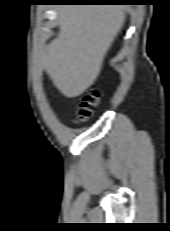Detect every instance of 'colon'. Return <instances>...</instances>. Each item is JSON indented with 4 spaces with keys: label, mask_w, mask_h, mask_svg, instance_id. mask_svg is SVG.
Instances as JSON below:
<instances>
[{
    "label": "colon",
    "mask_w": 170,
    "mask_h": 231,
    "mask_svg": "<svg viewBox=\"0 0 170 231\" xmlns=\"http://www.w3.org/2000/svg\"><path fill=\"white\" fill-rule=\"evenodd\" d=\"M101 98V92L98 89L90 90L83 98L78 112V120L86 121L96 110Z\"/></svg>",
    "instance_id": "5ec220e1"
}]
</instances>
